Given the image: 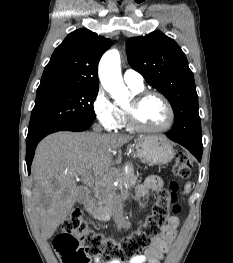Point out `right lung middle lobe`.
Returning <instances> with one entry per match:
<instances>
[{"mask_svg": "<svg viewBox=\"0 0 233 263\" xmlns=\"http://www.w3.org/2000/svg\"><path fill=\"white\" fill-rule=\"evenodd\" d=\"M98 88L78 87L36 96L27 138L64 124L92 122Z\"/></svg>", "mask_w": 233, "mask_h": 263, "instance_id": "right-lung-middle-lobe-1", "label": "right lung middle lobe"}]
</instances>
